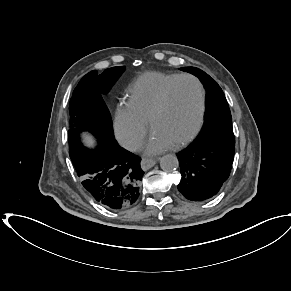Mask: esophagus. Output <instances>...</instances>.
Returning <instances> with one entry per match:
<instances>
[{
  "mask_svg": "<svg viewBox=\"0 0 291 291\" xmlns=\"http://www.w3.org/2000/svg\"><path fill=\"white\" fill-rule=\"evenodd\" d=\"M158 162V159H149V158H143L141 161V167L144 170L150 169Z\"/></svg>",
  "mask_w": 291,
  "mask_h": 291,
  "instance_id": "34e87169",
  "label": "esophagus"
}]
</instances>
